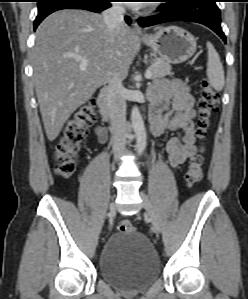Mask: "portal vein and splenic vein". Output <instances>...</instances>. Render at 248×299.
<instances>
[{
    "label": "portal vein and splenic vein",
    "instance_id": "portal-vein-and-splenic-vein-1",
    "mask_svg": "<svg viewBox=\"0 0 248 299\" xmlns=\"http://www.w3.org/2000/svg\"><path fill=\"white\" fill-rule=\"evenodd\" d=\"M77 59L80 61V67L82 69H84V68H86L88 66L89 61L86 58H80V57H78ZM145 77L147 79H151L152 72L149 69L146 71Z\"/></svg>",
    "mask_w": 248,
    "mask_h": 299
}]
</instances>
